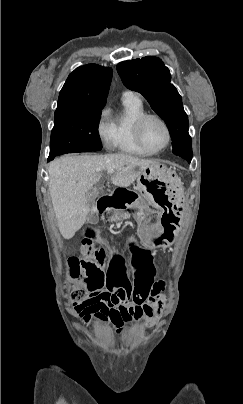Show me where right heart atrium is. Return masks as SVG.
Listing matches in <instances>:
<instances>
[{"label": "right heart atrium", "mask_w": 243, "mask_h": 404, "mask_svg": "<svg viewBox=\"0 0 243 404\" xmlns=\"http://www.w3.org/2000/svg\"><path fill=\"white\" fill-rule=\"evenodd\" d=\"M95 132L102 148L107 152L116 150L115 131L109 107H103L96 118Z\"/></svg>", "instance_id": "obj_1"}]
</instances>
